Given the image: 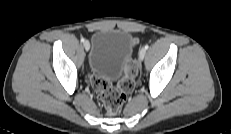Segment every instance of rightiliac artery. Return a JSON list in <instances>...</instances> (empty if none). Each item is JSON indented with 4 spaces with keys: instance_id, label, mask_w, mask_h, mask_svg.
Here are the masks:
<instances>
[{
    "instance_id": "1",
    "label": "right iliac artery",
    "mask_w": 231,
    "mask_h": 134,
    "mask_svg": "<svg viewBox=\"0 0 231 134\" xmlns=\"http://www.w3.org/2000/svg\"><path fill=\"white\" fill-rule=\"evenodd\" d=\"M85 40H84V38H81V42H84Z\"/></svg>"
}]
</instances>
